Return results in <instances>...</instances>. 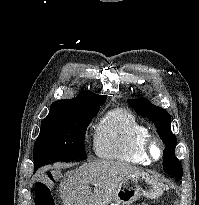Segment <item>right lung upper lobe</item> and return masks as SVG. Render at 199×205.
I'll return each mask as SVG.
<instances>
[{
    "label": "right lung upper lobe",
    "mask_w": 199,
    "mask_h": 205,
    "mask_svg": "<svg viewBox=\"0 0 199 205\" xmlns=\"http://www.w3.org/2000/svg\"><path fill=\"white\" fill-rule=\"evenodd\" d=\"M102 100H106L105 95L100 96V95L94 94L90 91H82L79 93V95L76 98L55 101L51 105L50 109L58 107V106L69 105V104H74V103H78V102L102 101Z\"/></svg>",
    "instance_id": "1"
}]
</instances>
